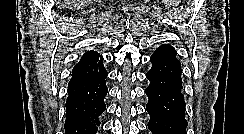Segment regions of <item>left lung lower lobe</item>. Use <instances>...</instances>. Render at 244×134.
Listing matches in <instances>:
<instances>
[{
    "instance_id": "left-lung-lower-lobe-1",
    "label": "left lung lower lobe",
    "mask_w": 244,
    "mask_h": 134,
    "mask_svg": "<svg viewBox=\"0 0 244 134\" xmlns=\"http://www.w3.org/2000/svg\"><path fill=\"white\" fill-rule=\"evenodd\" d=\"M150 84L146 110L150 115L148 128L152 134H185L188 125L184 112L183 86L169 87L159 83L149 72Z\"/></svg>"
}]
</instances>
